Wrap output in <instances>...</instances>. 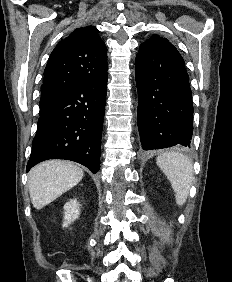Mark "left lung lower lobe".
<instances>
[{
	"mask_svg": "<svg viewBox=\"0 0 232 282\" xmlns=\"http://www.w3.org/2000/svg\"><path fill=\"white\" fill-rule=\"evenodd\" d=\"M142 149L190 148L192 92L184 60L166 39L144 42L135 60Z\"/></svg>",
	"mask_w": 232,
	"mask_h": 282,
	"instance_id": "obj_1",
	"label": "left lung lower lobe"
}]
</instances>
